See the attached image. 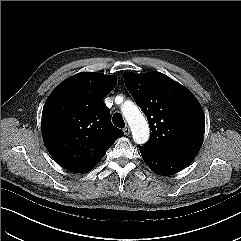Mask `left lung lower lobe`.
Wrapping results in <instances>:
<instances>
[{
    "instance_id": "left-lung-lower-lobe-1",
    "label": "left lung lower lobe",
    "mask_w": 241,
    "mask_h": 241,
    "mask_svg": "<svg viewBox=\"0 0 241 241\" xmlns=\"http://www.w3.org/2000/svg\"><path fill=\"white\" fill-rule=\"evenodd\" d=\"M141 155L146 163L157 174L170 175L182 170L189 163L165 157L146 147L139 146Z\"/></svg>"
}]
</instances>
